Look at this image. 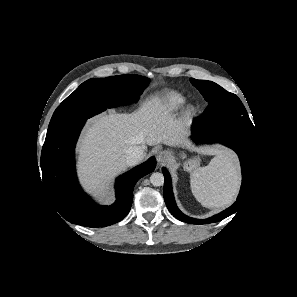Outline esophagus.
Listing matches in <instances>:
<instances>
[{"label": "esophagus", "instance_id": "1", "mask_svg": "<svg viewBox=\"0 0 297 297\" xmlns=\"http://www.w3.org/2000/svg\"><path fill=\"white\" fill-rule=\"evenodd\" d=\"M171 157V152L170 151H161L157 154L156 158L158 163L163 164L166 163Z\"/></svg>", "mask_w": 297, "mask_h": 297}]
</instances>
